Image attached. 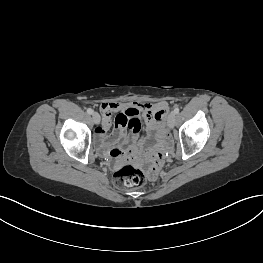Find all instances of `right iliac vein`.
Masks as SVG:
<instances>
[{
    "label": "right iliac vein",
    "instance_id": "63e3f726",
    "mask_svg": "<svg viewBox=\"0 0 263 263\" xmlns=\"http://www.w3.org/2000/svg\"><path fill=\"white\" fill-rule=\"evenodd\" d=\"M92 119L95 124L100 123V115L97 112L92 113Z\"/></svg>",
    "mask_w": 263,
    "mask_h": 263
}]
</instances>
